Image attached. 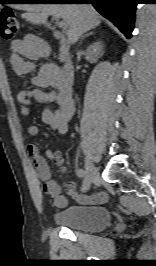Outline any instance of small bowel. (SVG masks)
Here are the masks:
<instances>
[{
	"label": "small bowel",
	"instance_id": "small-bowel-1",
	"mask_svg": "<svg viewBox=\"0 0 156 266\" xmlns=\"http://www.w3.org/2000/svg\"><path fill=\"white\" fill-rule=\"evenodd\" d=\"M43 47L44 45L40 40L33 35L14 40L10 46L11 54L9 57L12 76L17 78L30 73L34 69V61L43 57L46 53ZM33 84L37 88L30 91H21L17 96L22 114L29 116L32 102L39 105L53 102L57 105L56 109L43 108L41 113L42 121L59 134H65L68 131V123L74 114V102L71 90H67L61 84L60 70L52 64L43 65L33 78ZM46 88H51V90L45 91L44 89ZM38 133L39 127L37 125L31 124L28 126L27 135L29 138L36 137ZM27 152L35 167L37 176L43 184V190L51 197L53 205L57 208L65 207L68 200L61 195L60 185L52 179L50 167L38 147L33 143H29ZM46 156L59 165L63 161V153L60 149H49L46 151ZM66 191L77 202L86 205L102 204L107 199V195L104 192L89 196L77 193L76 185L73 181L67 183Z\"/></svg>",
	"mask_w": 156,
	"mask_h": 266
}]
</instances>
